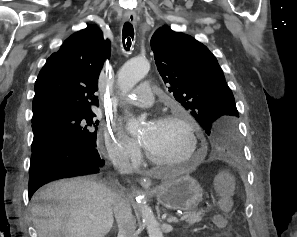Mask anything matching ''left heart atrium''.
Wrapping results in <instances>:
<instances>
[{
    "label": "left heart atrium",
    "instance_id": "39dd6f15",
    "mask_svg": "<svg viewBox=\"0 0 297 237\" xmlns=\"http://www.w3.org/2000/svg\"><path fill=\"white\" fill-rule=\"evenodd\" d=\"M155 124H156L155 121H149L146 124V126H145V128L143 130V133H142V135H141V137L139 139L141 144H143L144 146L147 144V142H148V140H149V138H150V136H151V134L153 132Z\"/></svg>",
    "mask_w": 297,
    "mask_h": 237
}]
</instances>
